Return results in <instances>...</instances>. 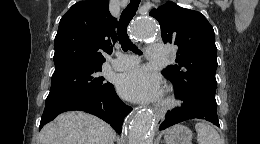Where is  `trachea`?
I'll list each match as a JSON object with an SVG mask.
<instances>
[{
    "mask_svg": "<svg viewBox=\"0 0 260 144\" xmlns=\"http://www.w3.org/2000/svg\"><path fill=\"white\" fill-rule=\"evenodd\" d=\"M140 0H131L129 5L123 10L117 25L118 40L123 51L131 50L135 54L141 55L142 52L131 42L127 34V27L139 7Z\"/></svg>",
    "mask_w": 260,
    "mask_h": 144,
    "instance_id": "3493384b",
    "label": "trachea"
}]
</instances>
